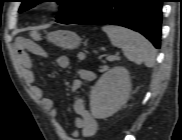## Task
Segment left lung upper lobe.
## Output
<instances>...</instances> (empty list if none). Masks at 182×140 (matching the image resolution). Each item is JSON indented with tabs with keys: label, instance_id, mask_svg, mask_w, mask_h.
<instances>
[{
	"label": "left lung upper lobe",
	"instance_id": "left-lung-upper-lobe-1",
	"mask_svg": "<svg viewBox=\"0 0 182 140\" xmlns=\"http://www.w3.org/2000/svg\"><path fill=\"white\" fill-rule=\"evenodd\" d=\"M47 0H21L19 12H24L36 4ZM102 0H54L61 5V11L56 17V22L71 24L92 11Z\"/></svg>",
	"mask_w": 182,
	"mask_h": 140
}]
</instances>
